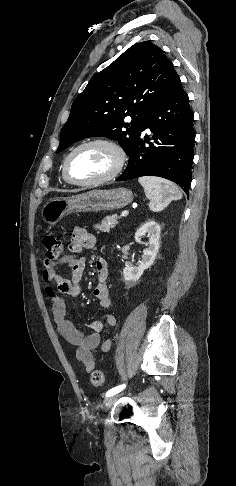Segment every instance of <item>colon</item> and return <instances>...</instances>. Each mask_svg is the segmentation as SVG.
I'll use <instances>...</instances> for the list:
<instances>
[{
	"label": "colon",
	"mask_w": 236,
	"mask_h": 486,
	"mask_svg": "<svg viewBox=\"0 0 236 486\" xmlns=\"http://www.w3.org/2000/svg\"><path fill=\"white\" fill-rule=\"evenodd\" d=\"M43 246L46 251L48 260L56 261L64 251V242L56 234L50 233L43 239ZM91 383L95 387L104 385V375L101 370H94L91 374Z\"/></svg>",
	"instance_id": "1"
}]
</instances>
